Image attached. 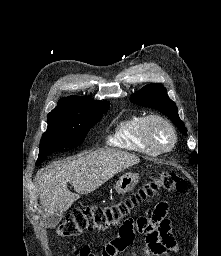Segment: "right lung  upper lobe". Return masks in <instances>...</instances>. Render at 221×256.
Masks as SVG:
<instances>
[{"instance_id":"right-lung-upper-lobe-1","label":"right lung upper lobe","mask_w":221,"mask_h":256,"mask_svg":"<svg viewBox=\"0 0 221 256\" xmlns=\"http://www.w3.org/2000/svg\"><path fill=\"white\" fill-rule=\"evenodd\" d=\"M91 102L95 101L86 97L79 96L63 97L58 101L57 106L49 114L74 113L80 107Z\"/></svg>"}]
</instances>
